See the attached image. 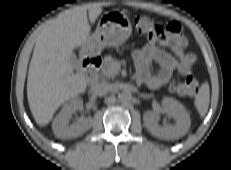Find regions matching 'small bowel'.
I'll return each mask as SVG.
<instances>
[{
    "label": "small bowel",
    "instance_id": "1",
    "mask_svg": "<svg viewBox=\"0 0 231 170\" xmlns=\"http://www.w3.org/2000/svg\"><path fill=\"white\" fill-rule=\"evenodd\" d=\"M158 43L169 48L173 55L162 50ZM187 45L181 24L176 21L167 24L162 37L150 38L147 44L132 52L138 78L149 87L157 88L166 85L174 72L190 74L196 57L186 52ZM153 63L160 66L157 72L153 71Z\"/></svg>",
    "mask_w": 231,
    "mask_h": 170
}]
</instances>
